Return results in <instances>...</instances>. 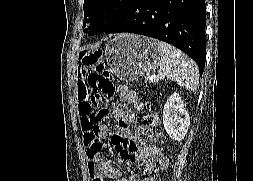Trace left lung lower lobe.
I'll use <instances>...</instances> for the list:
<instances>
[{
	"instance_id": "0a47b994",
	"label": "left lung lower lobe",
	"mask_w": 253,
	"mask_h": 181,
	"mask_svg": "<svg viewBox=\"0 0 253 181\" xmlns=\"http://www.w3.org/2000/svg\"><path fill=\"white\" fill-rule=\"evenodd\" d=\"M205 0H133L108 33L131 32L153 37L181 49L205 66Z\"/></svg>"
}]
</instances>
